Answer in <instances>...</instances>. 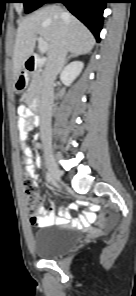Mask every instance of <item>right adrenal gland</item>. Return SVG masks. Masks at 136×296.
<instances>
[{"label": "right adrenal gland", "instance_id": "right-adrenal-gland-1", "mask_svg": "<svg viewBox=\"0 0 136 296\" xmlns=\"http://www.w3.org/2000/svg\"><path fill=\"white\" fill-rule=\"evenodd\" d=\"M78 55L76 54H71L67 57L66 61H65V65L68 63V61L71 59V58H74V57H77Z\"/></svg>", "mask_w": 136, "mask_h": 296}]
</instances>
